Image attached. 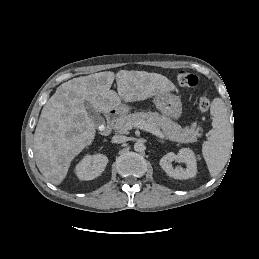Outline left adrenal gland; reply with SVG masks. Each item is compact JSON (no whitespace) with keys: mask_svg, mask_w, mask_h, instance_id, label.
Listing matches in <instances>:
<instances>
[{"mask_svg":"<svg viewBox=\"0 0 259 259\" xmlns=\"http://www.w3.org/2000/svg\"><path fill=\"white\" fill-rule=\"evenodd\" d=\"M159 142L164 143V141H163V140H160Z\"/></svg>","mask_w":259,"mask_h":259,"instance_id":"1","label":"left adrenal gland"}]
</instances>
